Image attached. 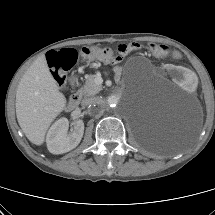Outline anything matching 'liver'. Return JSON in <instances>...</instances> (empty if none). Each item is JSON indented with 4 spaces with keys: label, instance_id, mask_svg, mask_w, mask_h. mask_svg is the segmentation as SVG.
I'll return each instance as SVG.
<instances>
[{
    "label": "liver",
    "instance_id": "6515ba94",
    "mask_svg": "<svg viewBox=\"0 0 215 215\" xmlns=\"http://www.w3.org/2000/svg\"><path fill=\"white\" fill-rule=\"evenodd\" d=\"M15 106L25 136L33 144L42 145L49 126L66 106V98L59 91L44 55L21 78Z\"/></svg>",
    "mask_w": 215,
    "mask_h": 215
}]
</instances>
